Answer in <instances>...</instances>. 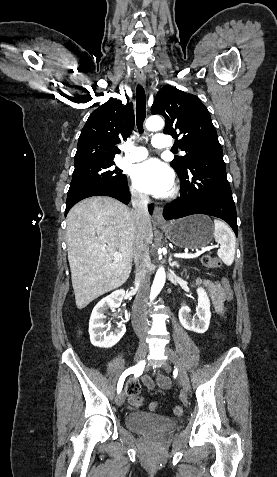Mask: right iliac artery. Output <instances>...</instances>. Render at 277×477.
Here are the masks:
<instances>
[{
    "label": "right iliac artery",
    "instance_id": "1",
    "mask_svg": "<svg viewBox=\"0 0 277 477\" xmlns=\"http://www.w3.org/2000/svg\"><path fill=\"white\" fill-rule=\"evenodd\" d=\"M144 366H145V361H140L136 366L130 367L127 370H125L118 381L117 392L120 393V391L122 390L124 380L128 375L132 373L141 374L144 369Z\"/></svg>",
    "mask_w": 277,
    "mask_h": 477
}]
</instances>
